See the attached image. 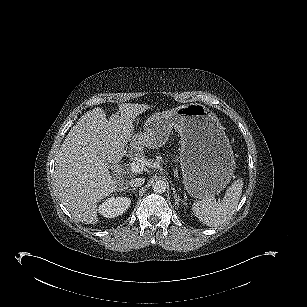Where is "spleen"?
Returning <instances> with one entry per match:
<instances>
[{
  "label": "spleen",
  "mask_w": 307,
  "mask_h": 307,
  "mask_svg": "<svg viewBox=\"0 0 307 307\" xmlns=\"http://www.w3.org/2000/svg\"><path fill=\"white\" fill-rule=\"evenodd\" d=\"M243 182L235 180L226 190L221 202L211 194L200 197L192 206L194 215L209 227L224 224L234 214L242 194Z\"/></svg>",
  "instance_id": "1"
}]
</instances>
